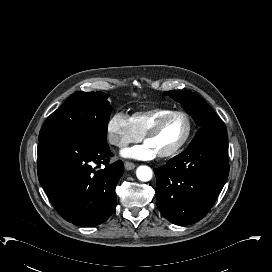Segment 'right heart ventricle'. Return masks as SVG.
<instances>
[{"mask_svg":"<svg viewBox=\"0 0 272 272\" xmlns=\"http://www.w3.org/2000/svg\"><path fill=\"white\" fill-rule=\"evenodd\" d=\"M169 112H171V110H165V109H157L154 111H147V112H138L134 114L132 120L141 131H145L152 125V123L158 117Z\"/></svg>","mask_w":272,"mask_h":272,"instance_id":"e07e8e85","label":"right heart ventricle"}]
</instances>
